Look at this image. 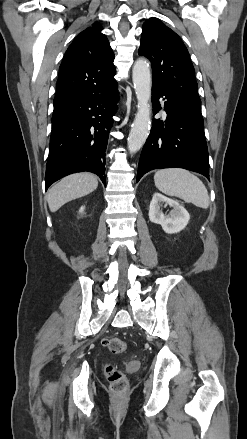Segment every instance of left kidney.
I'll return each mask as SVG.
<instances>
[{
  "mask_svg": "<svg viewBox=\"0 0 247 439\" xmlns=\"http://www.w3.org/2000/svg\"><path fill=\"white\" fill-rule=\"evenodd\" d=\"M162 202L172 207L168 215H164L160 210ZM149 219L153 223L160 224L166 233L174 234L186 227L190 220V215L177 201L160 193H155L150 203Z\"/></svg>",
  "mask_w": 247,
  "mask_h": 439,
  "instance_id": "5707ae66",
  "label": "left kidney"
}]
</instances>
